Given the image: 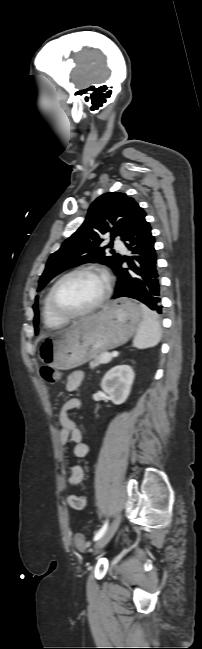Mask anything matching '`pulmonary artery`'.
Listing matches in <instances>:
<instances>
[{
  "label": "pulmonary artery",
  "mask_w": 202,
  "mask_h": 649,
  "mask_svg": "<svg viewBox=\"0 0 202 649\" xmlns=\"http://www.w3.org/2000/svg\"><path fill=\"white\" fill-rule=\"evenodd\" d=\"M114 245H115L119 250H121V251H126L124 244H123L120 240L116 239V240L114 241Z\"/></svg>",
  "instance_id": "pulmonary-artery-1"
}]
</instances>
